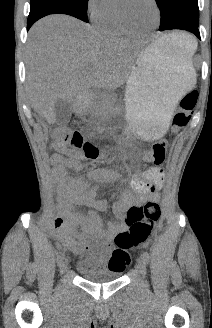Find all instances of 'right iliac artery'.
Returning <instances> with one entry per match:
<instances>
[{"mask_svg": "<svg viewBox=\"0 0 212 328\" xmlns=\"http://www.w3.org/2000/svg\"><path fill=\"white\" fill-rule=\"evenodd\" d=\"M57 264L60 266L61 263L63 262V256L61 254L57 255L56 259Z\"/></svg>", "mask_w": 212, "mask_h": 328, "instance_id": "obj_1", "label": "right iliac artery"}]
</instances>
